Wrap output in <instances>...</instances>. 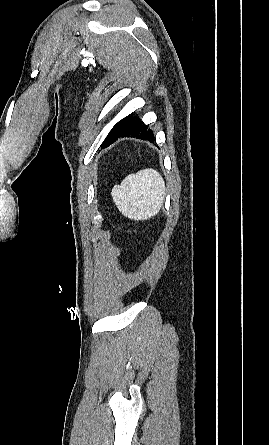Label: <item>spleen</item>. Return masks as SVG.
<instances>
[{
    "instance_id": "1",
    "label": "spleen",
    "mask_w": 269,
    "mask_h": 445,
    "mask_svg": "<svg viewBox=\"0 0 269 445\" xmlns=\"http://www.w3.org/2000/svg\"><path fill=\"white\" fill-rule=\"evenodd\" d=\"M165 182L156 170L147 168L128 175L111 195L118 210L131 220H147L159 213L165 196Z\"/></svg>"
}]
</instances>
